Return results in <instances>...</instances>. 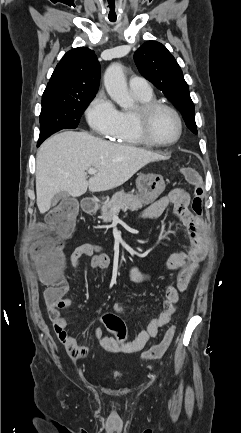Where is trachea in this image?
<instances>
[{"label":"trachea","instance_id":"1","mask_svg":"<svg viewBox=\"0 0 241 433\" xmlns=\"http://www.w3.org/2000/svg\"><path fill=\"white\" fill-rule=\"evenodd\" d=\"M108 8L110 9L108 11V19L111 24H116L118 22V15L117 11L115 10L117 8V5L114 2H111L108 5Z\"/></svg>","mask_w":241,"mask_h":433}]
</instances>
